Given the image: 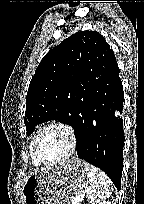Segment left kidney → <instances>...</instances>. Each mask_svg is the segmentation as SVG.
Here are the masks:
<instances>
[{
  "instance_id": "obj_1",
  "label": "left kidney",
  "mask_w": 144,
  "mask_h": 204,
  "mask_svg": "<svg viewBox=\"0 0 144 204\" xmlns=\"http://www.w3.org/2000/svg\"><path fill=\"white\" fill-rule=\"evenodd\" d=\"M99 204H111V202H109V201H103V202H101V203H99Z\"/></svg>"
}]
</instances>
